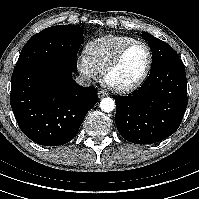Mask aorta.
I'll return each mask as SVG.
<instances>
[{"instance_id": "1", "label": "aorta", "mask_w": 199, "mask_h": 199, "mask_svg": "<svg viewBox=\"0 0 199 199\" xmlns=\"http://www.w3.org/2000/svg\"><path fill=\"white\" fill-rule=\"evenodd\" d=\"M100 108L102 111L109 113L114 110L115 102L112 98H103L100 101Z\"/></svg>"}]
</instances>
